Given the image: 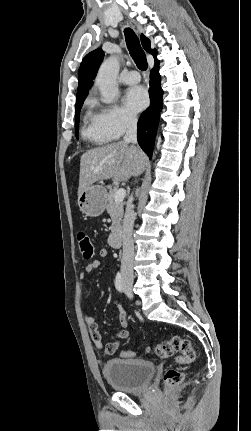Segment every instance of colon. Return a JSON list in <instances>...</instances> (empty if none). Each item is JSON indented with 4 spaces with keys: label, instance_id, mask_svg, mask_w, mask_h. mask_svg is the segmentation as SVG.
Segmentation results:
<instances>
[{
    "label": "colon",
    "instance_id": "1",
    "mask_svg": "<svg viewBox=\"0 0 251 431\" xmlns=\"http://www.w3.org/2000/svg\"><path fill=\"white\" fill-rule=\"evenodd\" d=\"M77 241L82 257L87 260L92 259L95 251L89 235L80 231L77 235ZM148 350H152L160 358H169L175 353H180L176 357V362L181 365L189 364L195 359V351L190 340L178 335L172 336L170 339L156 344L153 348H148ZM134 355L135 353L131 350L122 353L124 358H131ZM163 381L165 394L169 395L183 381V373L178 369L169 368L164 374Z\"/></svg>",
    "mask_w": 251,
    "mask_h": 431
}]
</instances>
